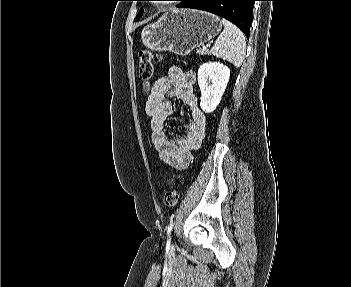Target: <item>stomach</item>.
<instances>
[{
	"label": "stomach",
	"instance_id": "1",
	"mask_svg": "<svg viewBox=\"0 0 351 287\" xmlns=\"http://www.w3.org/2000/svg\"><path fill=\"white\" fill-rule=\"evenodd\" d=\"M219 17L195 9L171 10L141 32L144 46L153 51H170L184 56L217 36Z\"/></svg>",
	"mask_w": 351,
	"mask_h": 287
}]
</instances>
